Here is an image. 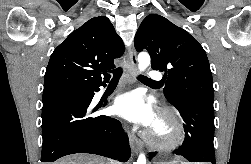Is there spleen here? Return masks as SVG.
I'll use <instances>...</instances> for the list:
<instances>
[{"label": "spleen", "mask_w": 251, "mask_h": 164, "mask_svg": "<svg viewBox=\"0 0 251 164\" xmlns=\"http://www.w3.org/2000/svg\"><path fill=\"white\" fill-rule=\"evenodd\" d=\"M185 164H191V163L185 162Z\"/></svg>", "instance_id": "3e777b00"}]
</instances>
